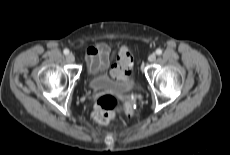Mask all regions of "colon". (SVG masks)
<instances>
[{
    "instance_id": "colon-1",
    "label": "colon",
    "mask_w": 230,
    "mask_h": 155,
    "mask_svg": "<svg viewBox=\"0 0 230 155\" xmlns=\"http://www.w3.org/2000/svg\"><path fill=\"white\" fill-rule=\"evenodd\" d=\"M124 60L127 62V66L130 68L133 63V55L128 49L125 50ZM126 108L129 113L132 112L131 103H128ZM118 110V99L110 94L103 95L98 98L95 104V108L92 113V119L98 124H108L114 119Z\"/></svg>"
}]
</instances>
